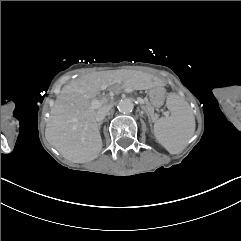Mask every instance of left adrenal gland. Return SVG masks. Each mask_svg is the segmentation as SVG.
I'll use <instances>...</instances> for the list:
<instances>
[{"label": "left adrenal gland", "mask_w": 241, "mask_h": 241, "mask_svg": "<svg viewBox=\"0 0 241 241\" xmlns=\"http://www.w3.org/2000/svg\"><path fill=\"white\" fill-rule=\"evenodd\" d=\"M148 120H149V123H150V129H151V131H153L152 130V124H151V118L148 116Z\"/></svg>", "instance_id": "1"}]
</instances>
